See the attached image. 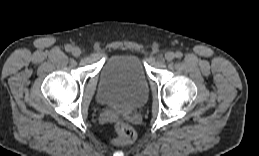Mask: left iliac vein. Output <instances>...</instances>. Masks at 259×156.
Returning a JSON list of instances; mask_svg holds the SVG:
<instances>
[{
  "label": "left iliac vein",
  "mask_w": 259,
  "mask_h": 156,
  "mask_svg": "<svg viewBox=\"0 0 259 156\" xmlns=\"http://www.w3.org/2000/svg\"><path fill=\"white\" fill-rule=\"evenodd\" d=\"M174 58H175V54H174L173 52H167V53L165 54V59H166L167 61H172Z\"/></svg>",
  "instance_id": "left-iliac-vein-1"
}]
</instances>
